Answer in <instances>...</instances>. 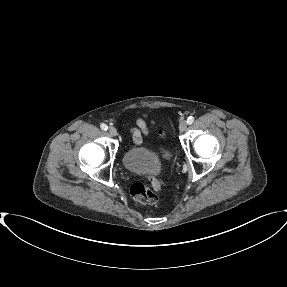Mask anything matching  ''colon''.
<instances>
[{"mask_svg": "<svg viewBox=\"0 0 287 287\" xmlns=\"http://www.w3.org/2000/svg\"><path fill=\"white\" fill-rule=\"evenodd\" d=\"M159 137L164 138V132H159ZM164 188V182L151 176L144 177L134 183L130 188L132 198L140 204L151 205L158 201L157 193Z\"/></svg>", "mask_w": 287, "mask_h": 287, "instance_id": "5ec220e1", "label": "colon"}]
</instances>
